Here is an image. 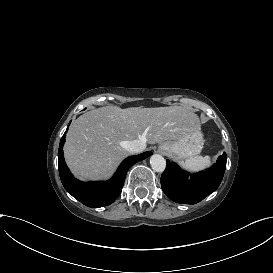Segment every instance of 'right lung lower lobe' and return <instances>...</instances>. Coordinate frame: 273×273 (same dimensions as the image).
Listing matches in <instances>:
<instances>
[{
	"label": "right lung lower lobe",
	"mask_w": 273,
	"mask_h": 273,
	"mask_svg": "<svg viewBox=\"0 0 273 273\" xmlns=\"http://www.w3.org/2000/svg\"><path fill=\"white\" fill-rule=\"evenodd\" d=\"M66 132L67 130L61 138L58 149L60 179L66 191L88 207L99 208L114 202L121 193L128 169L136 162L152 154L151 151H147L136 156L128 157L122 162L114 177L109 181L84 183L75 179L65 164L63 145L65 143Z\"/></svg>",
	"instance_id": "right-lung-lower-lobe-1"
}]
</instances>
